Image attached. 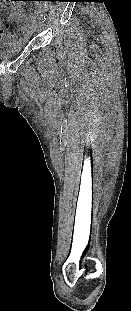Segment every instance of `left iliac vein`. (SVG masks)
Here are the masks:
<instances>
[{
    "mask_svg": "<svg viewBox=\"0 0 131 311\" xmlns=\"http://www.w3.org/2000/svg\"><path fill=\"white\" fill-rule=\"evenodd\" d=\"M43 26L42 22H40L39 28H41Z\"/></svg>",
    "mask_w": 131,
    "mask_h": 311,
    "instance_id": "obj_1",
    "label": "left iliac vein"
}]
</instances>
